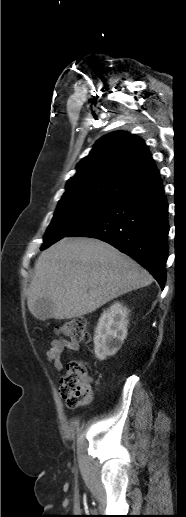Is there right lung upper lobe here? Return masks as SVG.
I'll return each instance as SVG.
<instances>
[{"label":"right lung upper lobe","instance_id":"obj_1","mask_svg":"<svg viewBox=\"0 0 186 517\" xmlns=\"http://www.w3.org/2000/svg\"><path fill=\"white\" fill-rule=\"evenodd\" d=\"M76 170L63 197L93 195L119 199L160 181L147 146L128 132L103 136Z\"/></svg>","mask_w":186,"mask_h":517}]
</instances>
